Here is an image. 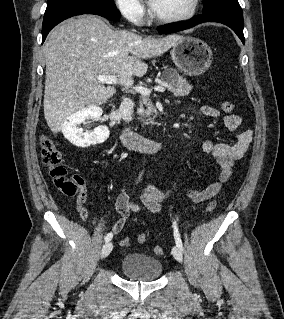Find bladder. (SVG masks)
Returning <instances> with one entry per match:
<instances>
[{
  "label": "bladder",
  "mask_w": 284,
  "mask_h": 319,
  "mask_svg": "<svg viewBox=\"0 0 284 319\" xmlns=\"http://www.w3.org/2000/svg\"><path fill=\"white\" fill-rule=\"evenodd\" d=\"M120 270L130 280L149 282L159 278L162 273V263L159 259L146 254L128 253L121 260Z\"/></svg>",
  "instance_id": "bladder-1"
}]
</instances>
